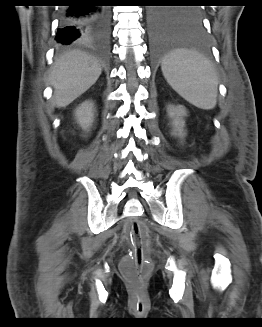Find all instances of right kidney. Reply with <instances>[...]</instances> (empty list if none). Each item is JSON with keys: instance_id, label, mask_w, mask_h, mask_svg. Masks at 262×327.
<instances>
[{"instance_id": "ca27d5eb", "label": "right kidney", "mask_w": 262, "mask_h": 327, "mask_svg": "<svg viewBox=\"0 0 262 327\" xmlns=\"http://www.w3.org/2000/svg\"><path fill=\"white\" fill-rule=\"evenodd\" d=\"M75 118L82 129H89L94 121V104L89 100L83 102L76 108Z\"/></svg>"}]
</instances>
